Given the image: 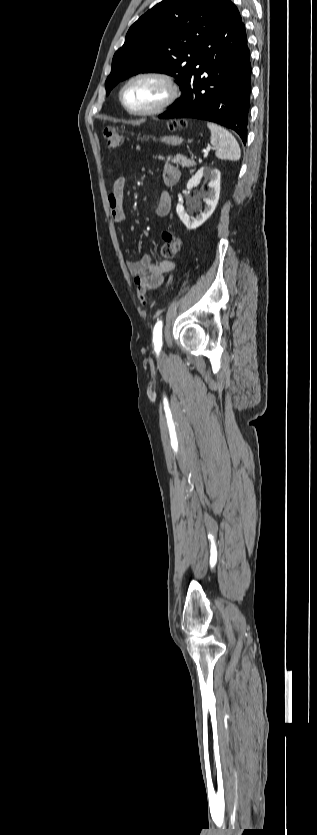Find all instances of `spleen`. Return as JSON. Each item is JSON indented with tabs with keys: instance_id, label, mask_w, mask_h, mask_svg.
Listing matches in <instances>:
<instances>
[{
	"instance_id": "1",
	"label": "spleen",
	"mask_w": 317,
	"mask_h": 835,
	"mask_svg": "<svg viewBox=\"0 0 317 835\" xmlns=\"http://www.w3.org/2000/svg\"><path fill=\"white\" fill-rule=\"evenodd\" d=\"M207 126L211 131L210 142L215 148L216 157L224 160H239L241 151L234 136L218 124L208 122Z\"/></svg>"
}]
</instances>
